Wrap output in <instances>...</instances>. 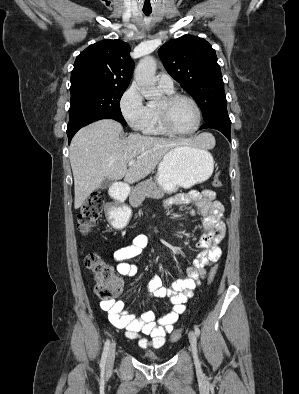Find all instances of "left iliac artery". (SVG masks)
Wrapping results in <instances>:
<instances>
[{"label":"left iliac artery","instance_id":"obj_1","mask_svg":"<svg viewBox=\"0 0 299 394\" xmlns=\"http://www.w3.org/2000/svg\"><path fill=\"white\" fill-rule=\"evenodd\" d=\"M194 329H195V334L197 336H199L200 335V329L198 328V326H194Z\"/></svg>","mask_w":299,"mask_h":394}]
</instances>
